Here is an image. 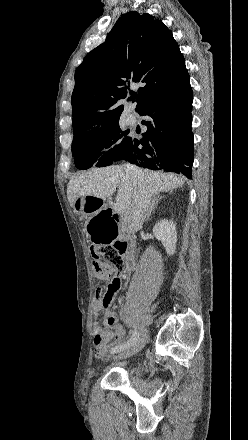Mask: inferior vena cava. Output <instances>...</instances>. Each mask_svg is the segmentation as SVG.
I'll return each mask as SVG.
<instances>
[{
	"label": "inferior vena cava",
	"mask_w": 248,
	"mask_h": 440,
	"mask_svg": "<svg viewBox=\"0 0 248 440\" xmlns=\"http://www.w3.org/2000/svg\"><path fill=\"white\" fill-rule=\"evenodd\" d=\"M125 172L137 182V190L130 206L125 211L122 219L123 227L130 233H134L142 228L150 209L151 194L143 181L142 172L134 165H124Z\"/></svg>",
	"instance_id": "inferior-vena-cava-1"
}]
</instances>
